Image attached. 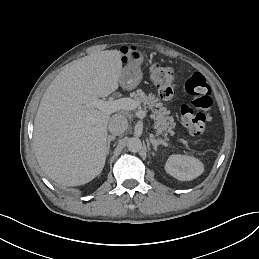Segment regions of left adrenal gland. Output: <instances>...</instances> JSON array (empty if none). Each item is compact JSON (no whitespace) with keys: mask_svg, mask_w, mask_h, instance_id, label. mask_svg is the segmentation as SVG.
Masks as SVG:
<instances>
[{"mask_svg":"<svg viewBox=\"0 0 259 259\" xmlns=\"http://www.w3.org/2000/svg\"><path fill=\"white\" fill-rule=\"evenodd\" d=\"M150 142L152 143L154 150H157V146L162 144L164 146H168L167 142L165 141V139H154V138H150Z\"/></svg>","mask_w":259,"mask_h":259,"instance_id":"1","label":"left adrenal gland"}]
</instances>
